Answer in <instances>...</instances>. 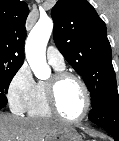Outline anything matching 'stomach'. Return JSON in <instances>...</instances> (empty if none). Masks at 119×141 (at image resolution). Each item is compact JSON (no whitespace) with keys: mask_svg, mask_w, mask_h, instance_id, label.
<instances>
[{"mask_svg":"<svg viewBox=\"0 0 119 141\" xmlns=\"http://www.w3.org/2000/svg\"><path fill=\"white\" fill-rule=\"evenodd\" d=\"M45 141H82V140L74 128L70 126H64L61 129L47 135Z\"/></svg>","mask_w":119,"mask_h":141,"instance_id":"0dacf381","label":"stomach"}]
</instances>
